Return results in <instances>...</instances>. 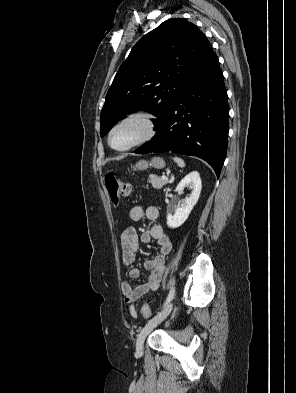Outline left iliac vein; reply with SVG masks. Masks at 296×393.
Listing matches in <instances>:
<instances>
[{
	"instance_id": "obj_1",
	"label": "left iliac vein",
	"mask_w": 296,
	"mask_h": 393,
	"mask_svg": "<svg viewBox=\"0 0 296 393\" xmlns=\"http://www.w3.org/2000/svg\"><path fill=\"white\" fill-rule=\"evenodd\" d=\"M173 308V303H168L167 306L159 312L156 316H154L140 331L137 341H136V351L138 354H141L143 351V344L148 336V334L162 321H164L167 316L170 314Z\"/></svg>"
}]
</instances>
